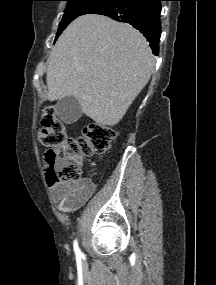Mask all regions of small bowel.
Masks as SVG:
<instances>
[{"instance_id":"c3829d8e","label":"small bowel","mask_w":216,"mask_h":285,"mask_svg":"<svg viewBox=\"0 0 216 285\" xmlns=\"http://www.w3.org/2000/svg\"><path fill=\"white\" fill-rule=\"evenodd\" d=\"M95 184L84 179L77 183H58L51 186V193L62 211L73 212L82 207L94 194Z\"/></svg>"}]
</instances>
